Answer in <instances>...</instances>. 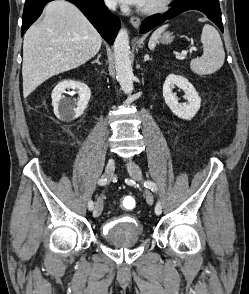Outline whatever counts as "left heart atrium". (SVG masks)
<instances>
[{
    "instance_id": "left-heart-atrium-1",
    "label": "left heart atrium",
    "mask_w": 249,
    "mask_h": 294,
    "mask_svg": "<svg viewBox=\"0 0 249 294\" xmlns=\"http://www.w3.org/2000/svg\"><path fill=\"white\" fill-rule=\"evenodd\" d=\"M123 4L135 5V6H143L145 0H118Z\"/></svg>"
}]
</instances>
